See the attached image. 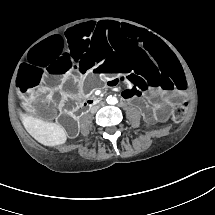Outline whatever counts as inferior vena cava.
<instances>
[{"label":"inferior vena cava","instance_id":"1","mask_svg":"<svg viewBox=\"0 0 215 215\" xmlns=\"http://www.w3.org/2000/svg\"><path fill=\"white\" fill-rule=\"evenodd\" d=\"M98 109H99L98 106H94V107H92L91 112H92V113H95Z\"/></svg>","mask_w":215,"mask_h":215}]
</instances>
